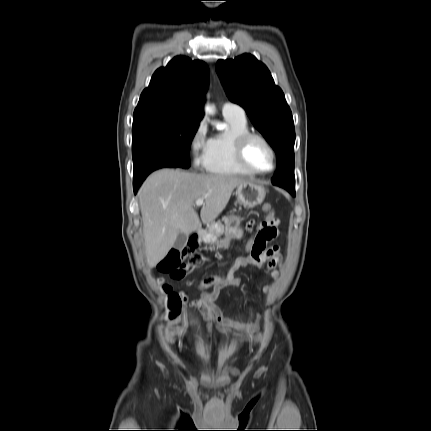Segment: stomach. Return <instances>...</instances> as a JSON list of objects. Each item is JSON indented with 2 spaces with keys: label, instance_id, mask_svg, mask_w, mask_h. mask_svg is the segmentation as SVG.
<instances>
[{
  "label": "stomach",
  "instance_id": "0dacf381",
  "mask_svg": "<svg viewBox=\"0 0 431 431\" xmlns=\"http://www.w3.org/2000/svg\"><path fill=\"white\" fill-rule=\"evenodd\" d=\"M266 192L264 187L247 181L237 186L236 196L237 201L245 207L252 208L264 201ZM241 218L236 215H231L225 221V237L218 239L217 235L211 231L206 234L204 241L211 245H216L218 248H228L233 239H241L243 230L240 226Z\"/></svg>",
  "mask_w": 431,
  "mask_h": 431
}]
</instances>
